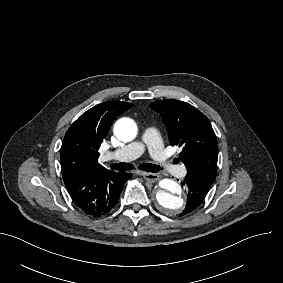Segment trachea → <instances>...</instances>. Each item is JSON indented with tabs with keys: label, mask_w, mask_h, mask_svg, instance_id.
<instances>
[{
	"label": "trachea",
	"mask_w": 283,
	"mask_h": 283,
	"mask_svg": "<svg viewBox=\"0 0 283 283\" xmlns=\"http://www.w3.org/2000/svg\"><path fill=\"white\" fill-rule=\"evenodd\" d=\"M110 167L118 171H129L133 168L130 163H115L110 165ZM139 169L147 172H160L163 170V167L151 163H142L140 164Z\"/></svg>",
	"instance_id": "1"
}]
</instances>
